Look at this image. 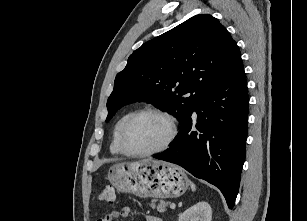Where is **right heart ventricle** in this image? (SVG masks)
Instances as JSON below:
<instances>
[{"label": "right heart ventricle", "mask_w": 307, "mask_h": 221, "mask_svg": "<svg viewBox=\"0 0 307 221\" xmlns=\"http://www.w3.org/2000/svg\"><path fill=\"white\" fill-rule=\"evenodd\" d=\"M132 111L124 113L116 122L114 129H113V134H112V140L110 144V152L112 154L118 155L121 154L122 152L120 151L119 145H118V137L119 133L121 130L122 125L126 121V119L132 114Z\"/></svg>", "instance_id": "1"}]
</instances>
